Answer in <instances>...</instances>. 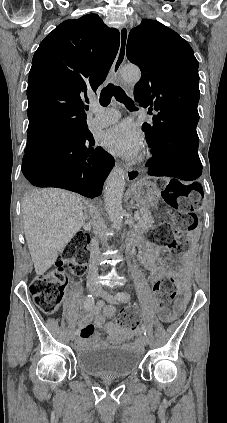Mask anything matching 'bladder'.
Here are the masks:
<instances>
[{"mask_svg":"<svg viewBox=\"0 0 227 423\" xmlns=\"http://www.w3.org/2000/svg\"><path fill=\"white\" fill-rule=\"evenodd\" d=\"M142 350L122 345L99 346L77 353L75 365L101 380L131 378L141 367Z\"/></svg>","mask_w":227,"mask_h":423,"instance_id":"31cf9c89","label":"bladder"}]
</instances>
